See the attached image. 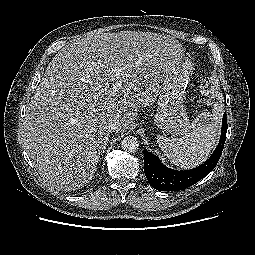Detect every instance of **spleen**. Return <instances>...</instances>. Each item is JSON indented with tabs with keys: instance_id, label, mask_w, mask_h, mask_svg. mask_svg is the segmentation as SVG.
<instances>
[{
	"instance_id": "obj_1",
	"label": "spleen",
	"mask_w": 255,
	"mask_h": 255,
	"mask_svg": "<svg viewBox=\"0 0 255 255\" xmlns=\"http://www.w3.org/2000/svg\"><path fill=\"white\" fill-rule=\"evenodd\" d=\"M210 120V121H209ZM221 123V112L201 113L193 122L194 132L180 139L157 136V142L167 158L176 166L193 168L204 162L215 147Z\"/></svg>"
}]
</instances>
